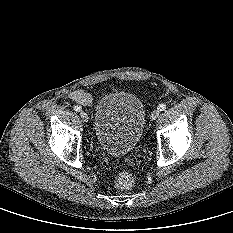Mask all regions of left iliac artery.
Segmentation results:
<instances>
[{
	"instance_id": "left-iliac-artery-1",
	"label": "left iliac artery",
	"mask_w": 233,
	"mask_h": 233,
	"mask_svg": "<svg viewBox=\"0 0 233 233\" xmlns=\"http://www.w3.org/2000/svg\"><path fill=\"white\" fill-rule=\"evenodd\" d=\"M165 109H166V105L165 104H160L158 106V110H160V111H164Z\"/></svg>"
}]
</instances>
